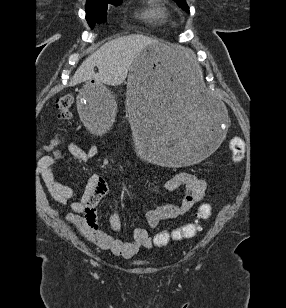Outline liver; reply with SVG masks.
Wrapping results in <instances>:
<instances>
[{
    "label": "liver",
    "instance_id": "6515ba94",
    "mask_svg": "<svg viewBox=\"0 0 286 308\" xmlns=\"http://www.w3.org/2000/svg\"><path fill=\"white\" fill-rule=\"evenodd\" d=\"M150 45H159L162 51L189 66L192 52L188 48H174L144 35H128L107 42L86 58L75 72L70 85L87 80L99 84L117 86L122 84L138 54ZM98 68L95 73L94 67Z\"/></svg>",
    "mask_w": 286,
    "mask_h": 308
}]
</instances>
